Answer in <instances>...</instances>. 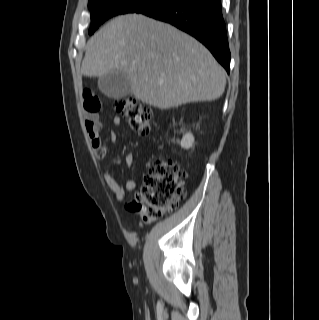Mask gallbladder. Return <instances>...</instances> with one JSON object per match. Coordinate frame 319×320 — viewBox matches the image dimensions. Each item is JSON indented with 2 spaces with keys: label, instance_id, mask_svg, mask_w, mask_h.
Here are the masks:
<instances>
[{
  "label": "gallbladder",
  "instance_id": "obj_1",
  "mask_svg": "<svg viewBox=\"0 0 319 320\" xmlns=\"http://www.w3.org/2000/svg\"><path fill=\"white\" fill-rule=\"evenodd\" d=\"M98 87L105 96L112 99H119L131 93L129 78L118 71L109 72L100 77Z\"/></svg>",
  "mask_w": 319,
  "mask_h": 320
}]
</instances>
